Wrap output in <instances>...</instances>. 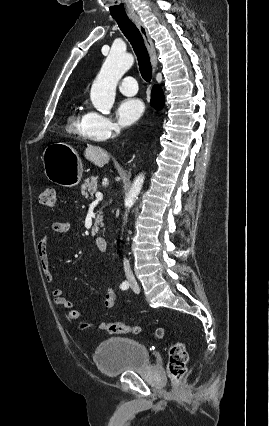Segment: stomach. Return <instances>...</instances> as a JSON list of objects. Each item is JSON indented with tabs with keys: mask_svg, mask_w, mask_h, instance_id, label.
<instances>
[{
	"mask_svg": "<svg viewBox=\"0 0 269 426\" xmlns=\"http://www.w3.org/2000/svg\"><path fill=\"white\" fill-rule=\"evenodd\" d=\"M42 160L44 173L49 181L63 187H74L81 181L82 162L76 151L66 143L48 145Z\"/></svg>",
	"mask_w": 269,
	"mask_h": 426,
	"instance_id": "0dacf381",
	"label": "stomach"
}]
</instances>
